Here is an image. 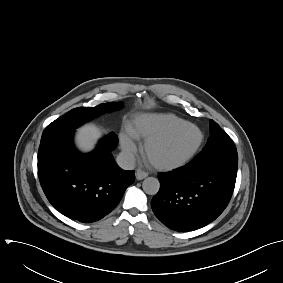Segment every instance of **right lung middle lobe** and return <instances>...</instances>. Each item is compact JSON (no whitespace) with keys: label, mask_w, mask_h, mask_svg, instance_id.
I'll return each mask as SVG.
<instances>
[{"label":"right lung middle lobe","mask_w":283,"mask_h":283,"mask_svg":"<svg viewBox=\"0 0 283 283\" xmlns=\"http://www.w3.org/2000/svg\"><path fill=\"white\" fill-rule=\"evenodd\" d=\"M122 107V102H109L96 107H79L72 109L62 117L49 124L41 137V143L55 136L73 131L89 119H92L103 112L117 110Z\"/></svg>","instance_id":"obj_1"}]
</instances>
